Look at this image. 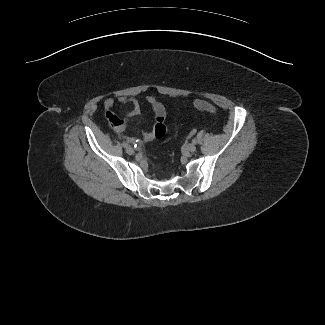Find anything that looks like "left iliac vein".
I'll return each mask as SVG.
<instances>
[{
	"label": "left iliac vein",
	"mask_w": 325,
	"mask_h": 325,
	"mask_svg": "<svg viewBox=\"0 0 325 325\" xmlns=\"http://www.w3.org/2000/svg\"><path fill=\"white\" fill-rule=\"evenodd\" d=\"M187 148L190 152H194L196 150V146L193 143H189Z\"/></svg>",
	"instance_id": "4c4485c4"
}]
</instances>
